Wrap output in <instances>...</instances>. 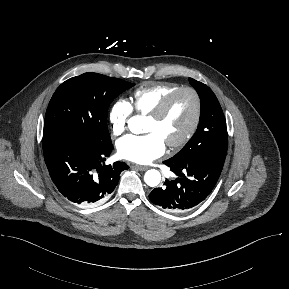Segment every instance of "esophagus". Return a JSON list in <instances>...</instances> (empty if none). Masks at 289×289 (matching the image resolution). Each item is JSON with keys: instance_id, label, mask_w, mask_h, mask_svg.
<instances>
[{"instance_id": "1", "label": "esophagus", "mask_w": 289, "mask_h": 289, "mask_svg": "<svg viewBox=\"0 0 289 289\" xmlns=\"http://www.w3.org/2000/svg\"><path fill=\"white\" fill-rule=\"evenodd\" d=\"M133 167H135L136 169L140 170V171H146L149 167L147 166H142V165H133Z\"/></svg>"}]
</instances>
